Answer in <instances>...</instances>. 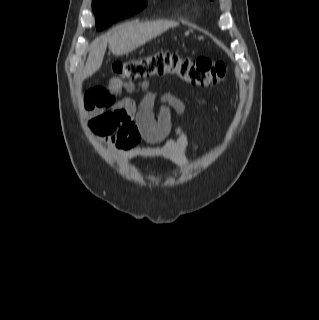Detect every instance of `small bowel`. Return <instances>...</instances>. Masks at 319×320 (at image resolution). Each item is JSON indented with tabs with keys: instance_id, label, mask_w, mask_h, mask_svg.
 Returning a JSON list of instances; mask_svg holds the SVG:
<instances>
[{
	"instance_id": "obj_1",
	"label": "small bowel",
	"mask_w": 319,
	"mask_h": 320,
	"mask_svg": "<svg viewBox=\"0 0 319 320\" xmlns=\"http://www.w3.org/2000/svg\"><path fill=\"white\" fill-rule=\"evenodd\" d=\"M141 89L148 91V83H142ZM114 88L95 87L85 95L84 109L89 117L88 128L108 145L109 150L125 160L164 159L176 168H184L187 164L186 151L191 137L181 126L174 129L173 136L161 146L136 147L126 142L119 131L124 117L148 118L157 126L171 129L170 111L164 106L155 120L152 113L154 95L147 92L139 107L130 97L116 99ZM164 104L179 107V102L171 94L163 95Z\"/></svg>"
}]
</instances>
